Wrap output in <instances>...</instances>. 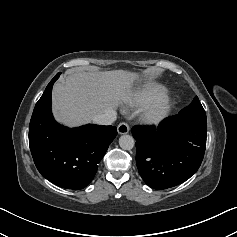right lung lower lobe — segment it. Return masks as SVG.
<instances>
[{
	"label": "right lung lower lobe",
	"instance_id": "98d812e1",
	"mask_svg": "<svg viewBox=\"0 0 237 237\" xmlns=\"http://www.w3.org/2000/svg\"><path fill=\"white\" fill-rule=\"evenodd\" d=\"M58 77L59 73L35 105L29 126V146L43 177L63 188L82 189L95 176L98 163L117 131L114 126L94 124L70 129L55 122L51 93Z\"/></svg>",
	"mask_w": 237,
	"mask_h": 237
}]
</instances>
